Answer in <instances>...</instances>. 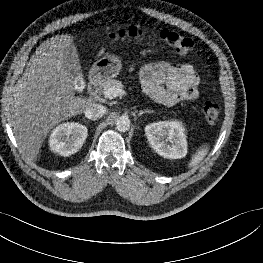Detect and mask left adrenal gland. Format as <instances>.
I'll use <instances>...</instances> for the list:
<instances>
[{
  "label": "left adrenal gland",
  "instance_id": "left-adrenal-gland-1",
  "mask_svg": "<svg viewBox=\"0 0 263 263\" xmlns=\"http://www.w3.org/2000/svg\"><path fill=\"white\" fill-rule=\"evenodd\" d=\"M153 111H150V110H144V111H139V113L137 114L138 116H141L142 114L144 113H152Z\"/></svg>",
  "mask_w": 263,
  "mask_h": 263
}]
</instances>
